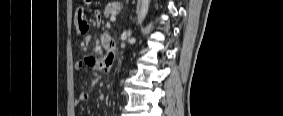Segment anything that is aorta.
Returning <instances> with one entry per match:
<instances>
[{
    "label": "aorta",
    "instance_id": "762f6f07",
    "mask_svg": "<svg viewBox=\"0 0 283 116\" xmlns=\"http://www.w3.org/2000/svg\"><path fill=\"white\" fill-rule=\"evenodd\" d=\"M148 7H149V0H142L141 1V10L138 14V23H141L143 19L145 18L147 12H148ZM131 43L135 42V39H132L130 41Z\"/></svg>",
    "mask_w": 283,
    "mask_h": 116
}]
</instances>
